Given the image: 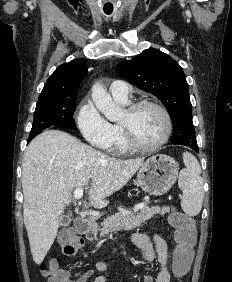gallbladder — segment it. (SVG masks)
Masks as SVG:
<instances>
[{
    "label": "gallbladder",
    "mask_w": 232,
    "mask_h": 282,
    "mask_svg": "<svg viewBox=\"0 0 232 282\" xmlns=\"http://www.w3.org/2000/svg\"><path fill=\"white\" fill-rule=\"evenodd\" d=\"M60 225L67 226L71 222V214L68 212L67 214H61L59 217Z\"/></svg>",
    "instance_id": "1"
}]
</instances>
